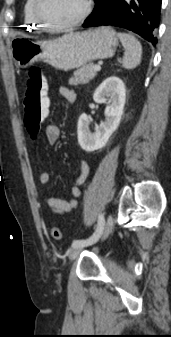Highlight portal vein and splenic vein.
<instances>
[{
  "label": "portal vein and splenic vein",
  "mask_w": 171,
  "mask_h": 337,
  "mask_svg": "<svg viewBox=\"0 0 171 337\" xmlns=\"http://www.w3.org/2000/svg\"><path fill=\"white\" fill-rule=\"evenodd\" d=\"M94 70H95V71H100V70H101V67H100L99 65H96V66L94 67Z\"/></svg>",
  "instance_id": "18ae733b"
}]
</instances>
